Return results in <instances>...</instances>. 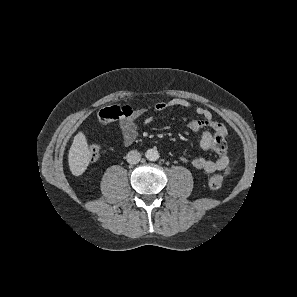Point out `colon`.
I'll return each mask as SVG.
<instances>
[{"instance_id": "5ec220e1", "label": "colon", "mask_w": 297, "mask_h": 297, "mask_svg": "<svg viewBox=\"0 0 297 297\" xmlns=\"http://www.w3.org/2000/svg\"><path fill=\"white\" fill-rule=\"evenodd\" d=\"M134 109L129 105H113L102 109L99 113L100 122L107 124L113 120L129 117L133 114ZM213 149L218 154H225L227 150L226 139L222 134H216L213 142ZM101 154L99 145H91L89 147V157L92 161L97 160ZM208 184L212 189H218L223 184V176L215 174L209 178Z\"/></svg>"}]
</instances>
